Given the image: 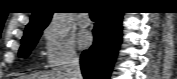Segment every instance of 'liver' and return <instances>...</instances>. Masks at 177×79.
<instances>
[{"mask_svg":"<svg viewBox=\"0 0 177 79\" xmlns=\"http://www.w3.org/2000/svg\"><path fill=\"white\" fill-rule=\"evenodd\" d=\"M20 79H68L66 73L61 71H49L42 74L22 76Z\"/></svg>","mask_w":177,"mask_h":79,"instance_id":"obj_1","label":"liver"}]
</instances>
